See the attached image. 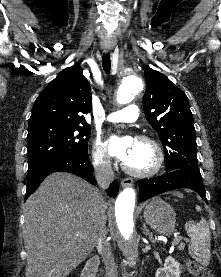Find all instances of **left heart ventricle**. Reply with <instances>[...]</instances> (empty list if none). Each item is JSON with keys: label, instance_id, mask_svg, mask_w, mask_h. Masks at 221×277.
Returning a JSON list of instances; mask_svg holds the SVG:
<instances>
[{"label": "left heart ventricle", "instance_id": "left-heart-ventricle-1", "mask_svg": "<svg viewBox=\"0 0 221 277\" xmlns=\"http://www.w3.org/2000/svg\"><path fill=\"white\" fill-rule=\"evenodd\" d=\"M154 161L153 149L146 143L135 141L134 147L124 163L135 170H147L153 166Z\"/></svg>", "mask_w": 221, "mask_h": 277}]
</instances>
